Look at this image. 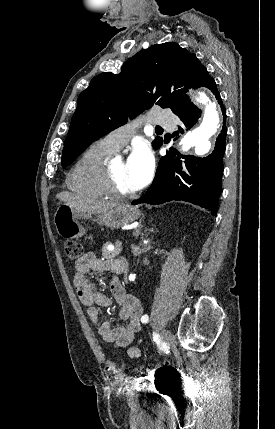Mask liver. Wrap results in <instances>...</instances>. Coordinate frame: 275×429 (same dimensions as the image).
Returning a JSON list of instances; mask_svg holds the SVG:
<instances>
[{"mask_svg": "<svg viewBox=\"0 0 275 429\" xmlns=\"http://www.w3.org/2000/svg\"><path fill=\"white\" fill-rule=\"evenodd\" d=\"M56 198L75 209L77 212L87 214H100L119 205L116 202L83 199L80 196L67 191L58 193Z\"/></svg>", "mask_w": 275, "mask_h": 429, "instance_id": "liver-1", "label": "liver"}]
</instances>
